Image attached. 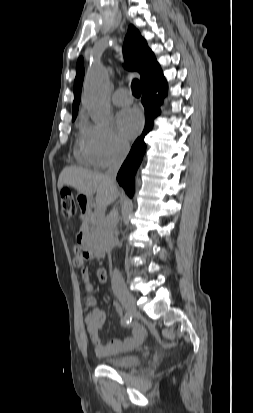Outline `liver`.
<instances>
[{"mask_svg":"<svg viewBox=\"0 0 253 413\" xmlns=\"http://www.w3.org/2000/svg\"><path fill=\"white\" fill-rule=\"evenodd\" d=\"M64 185L72 186L88 197L96 193V203L100 208L112 203L117 196V187L104 174L80 167L68 166L62 170L58 179V189L61 190Z\"/></svg>","mask_w":253,"mask_h":413,"instance_id":"6515ba94","label":"liver"}]
</instances>
